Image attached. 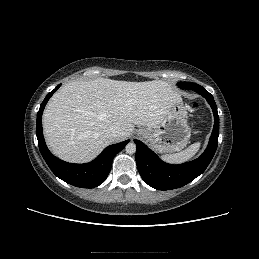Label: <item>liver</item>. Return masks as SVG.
<instances>
[{"mask_svg": "<svg viewBox=\"0 0 259 259\" xmlns=\"http://www.w3.org/2000/svg\"><path fill=\"white\" fill-rule=\"evenodd\" d=\"M180 99L174 87L162 80L70 82L52 96L44 110V136L59 158L88 162L113 143L105 136L109 127H119L121 133L115 141H123L135 125L157 127Z\"/></svg>", "mask_w": 259, "mask_h": 259, "instance_id": "obj_1", "label": "liver"}]
</instances>
